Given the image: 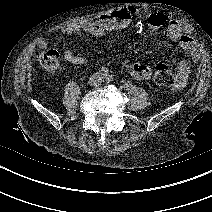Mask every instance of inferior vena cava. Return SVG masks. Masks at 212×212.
Listing matches in <instances>:
<instances>
[{"instance_id":"obj_1","label":"inferior vena cava","mask_w":212,"mask_h":212,"mask_svg":"<svg viewBox=\"0 0 212 212\" xmlns=\"http://www.w3.org/2000/svg\"><path fill=\"white\" fill-rule=\"evenodd\" d=\"M93 78H94V77H91V83H92L93 85L99 84L100 81H96V80H94Z\"/></svg>"}]
</instances>
